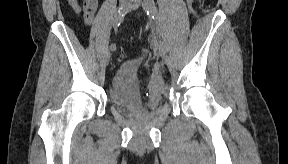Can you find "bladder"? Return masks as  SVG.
I'll return each mask as SVG.
<instances>
[{
    "label": "bladder",
    "instance_id": "31cf9c89",
    "mask_svg": "<svg viewBox=\"0 0 288 164\" xmlns=\"http://www.w3.org/2000/svg\"><path fill=\"white\" fill-rule=\"evenodd\" d=\"M138 65V60H130L120 65L112 76L109 100L119 110L153 109L157 105V94L141 89L137 79Z\"/></svg>",
    "mask_w": 288,
    "mask_h": 164
}]
</instances>
